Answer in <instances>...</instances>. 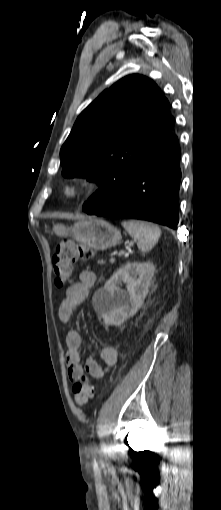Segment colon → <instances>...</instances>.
Here are the masks:
<instances>
[{
    "instance_id": "obj_1",
    "label": "colon",
    "mask_w": 221,
    "mask_h": 510,
    "mask_svg": "<svg viewBox=\"0 0 221 510\" xmlns=\"http://www.w3.org/2000/svg\"><path fill=\"white\" fill-rule=\"evenodd\" d=\"M92 250L80 243L72 241H62L56 249L53 256V270L55 273V283L57 287H63L72 278L74 266L78 261H85L92 258ZM75 401L78 405L86 404L93 397V386L83 374L73 384L72 387Z\"/></svg>"
}]
</instances>
